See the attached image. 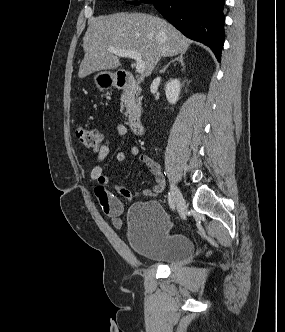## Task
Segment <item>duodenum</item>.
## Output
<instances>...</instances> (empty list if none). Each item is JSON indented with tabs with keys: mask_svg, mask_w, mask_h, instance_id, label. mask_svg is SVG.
Wrapping results in <instances>:
<instances>
[{
	"mask_svg": "<svg viewBox=\"0 0 285 332\" xmlns=\"http://www.w3.org/2000/svg\"><path fill=\"white\" fill-rule=\"evenodd\" d=\"M118 88L125 90L128 94H134L138 88L137 81L129 72H121L117 77ZM130 129L137 135H142L145 131L144 124L139 116H132L129 119Z\"/></svg>",
	"mask_w": 285,
	"mask_h": 332,
	"instance_id": "410a0bca",
	"label": "duodenum"
}]
</instances>
